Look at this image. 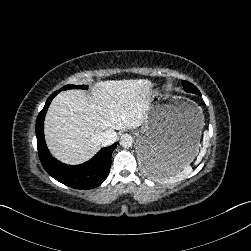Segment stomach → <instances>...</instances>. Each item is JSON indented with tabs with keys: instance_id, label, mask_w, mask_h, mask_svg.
Instances as JSON below:
<instances>
[{
	"instance_id": "1",
	"label": "stomach",
	"mask_w": 251,
	"mask_h": 251,
	"mask_svg": "<svg viewBox=\"0 0 251 251\" xmlns=\"http://www.w3.org/2000/svg\"><path fill=\"white\" fill-rule=\"evenodd\" d=\"M148 101L146 120L136 132V150L143 171L163 178L181 170L198 153L204 113L160 80L152 81Z\"/></svg>"
}]
</instances>
